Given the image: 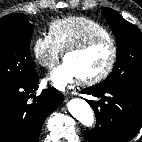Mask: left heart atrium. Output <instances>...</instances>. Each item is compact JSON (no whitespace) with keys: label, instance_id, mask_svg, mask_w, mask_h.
<instances>
[{"label":"left heart atrium","instance_id":"39dd6f15","mask_svg":"<svg viewBox=\"0 0 142 142\" xmlns=\"http://www.w3.org/2000/svg\"><path fill=\"white\" fill-rule=\"evenodd\" d=\"M80 79L74 67L66 60L57 66L50 74L49 81L60 90L65 89L70 84Z\"/></svg>","mask_w":142,"mask_h":142}]
</instances>
